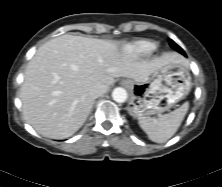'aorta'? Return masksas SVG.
Returning <instances> with one entry per match:
<instances>
[{"instance_id":"762f6f07","label":"aorta","mask_w":222,"mask_h":187,"mask_svg":"<svg viewBox=\"0 0 222 187\" xmlns=\"http://www.w3.org/2000/svg\"><path fill=\"white\" fill-rule=\"evenodd\" d=\"M112 98L118 103H123L127 99V91L124 88L117 87L112 92Z\"/></svg>"}]
</instances>
